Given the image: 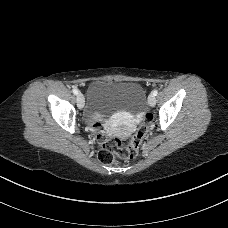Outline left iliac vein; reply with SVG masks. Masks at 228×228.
I'll return each mask as SVG.
<instances>
[{
  "mask_svg": "<svg viewBox=\"0 0 228 228\" xmlns=\"http://www.w3.org/2000/svg\"><path fill=\"white\" fill-rule=\"evenodd\" d=\"M148 104L153 107L156 104V98L153 94H150L148 97Z\"/></svg>",
  "mask_w": 228,
  "mask_h": 228,
  "instance_id": "1",
  "label": "left iliac vein"
}]
</instances>
